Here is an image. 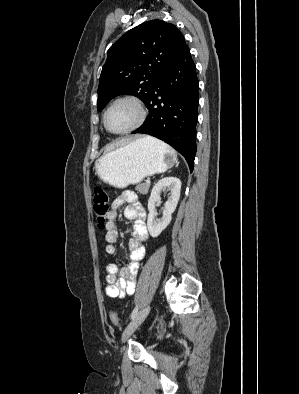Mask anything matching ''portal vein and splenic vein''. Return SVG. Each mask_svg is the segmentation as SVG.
I'll list each match as a JSON object with an SVG mask.
<instances>
[{
	"label": "portal vein and splenic vein",
	"instance_id": "18ae733b",
	"mask_svg": "<svg viewBox=\"0 0 299 394\" xmlns=\"http://www.w3.org/2000/svg\"><path fill=\"white\" fill-rule=\"evenodd\" d=\"M146 183H147V184H150V183H151V182H150V179H147V180H146Z\"/></svg>",
	"mask_w": 299,
	"mask_h": 394
}]
</instances>
